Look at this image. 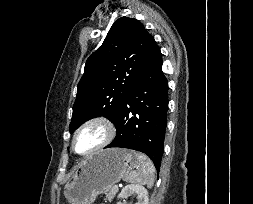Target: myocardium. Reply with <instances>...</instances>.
Here are the masks:
<instances>
[{
	"mask_svg": "<svg viewBox=\"0 0 253 204\" xmlns=\"http://www.w3.org/2000/svg\"><path fill=\"white\" fill-rule=\"evenodd\" d=\"M92 125L102 126L105 130V137L100 143H98L96 146H94L89 151H87L85 153H79L76 150V138L81 131H83L85 128L92 126ZM115 135H116V127L111 120H109L108 118H106L104 116L92 117V118L84 121L75 130V132L72 136L71 147H72L73 152L76 155L81 156V157H86V156L92 155V154L96 153L97 151L102 150L103 148L108 146L114 140Z\"/></svg>",
	"mask_w": 253,
	"mask_h": 204,
	"instance_id": "myocardium-1",
	"label": "myocardium"
}]
</instances>
